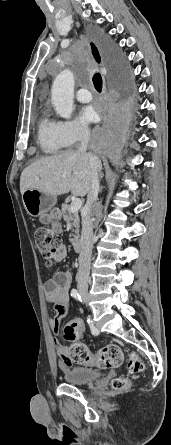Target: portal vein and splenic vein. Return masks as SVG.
Segmentation results:
<instances>
[{"label": "portal vein and splenic vein", "instance_id": "portal-vein-and-splenic-vein-1", "mask_svg": "<svg viewBox=\"0 0 171 445\" xmlns=\"http://www.w3.org/2000/svg\"><path fill=\"white\" fill-rule=\"evenodd\" d=\"M82 206V201L80 198H76L72 201L70 206V212H77Z\"/></svg>", "mask_w": 171, "mask_h": 445}]
</instances>
